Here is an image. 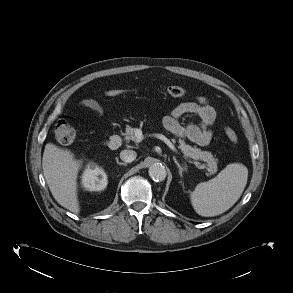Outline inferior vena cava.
Here are the masks:
<instances>
[{
  "label": "inferior vena cava",
  "mask_w": 293,
  "mask_h": 293,
  "mask_svg": "<svg viewBox=\"0 0 293 293\" xmlns=\"http://www.w3.org/2000/svg\"><path fill=\"white\" fill-rule=\"evenodd\" d=\"M137 153L133 150H122L120 153V158L126 163H130L136 159Z\"/></svg>",
  "instance_id": "obj_1"
}]
</instances>
